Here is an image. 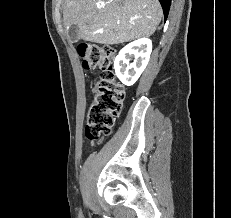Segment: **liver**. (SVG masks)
Segmentation results:
<instances>
[{
	"label": "liver",
	"mask_w": 231,
	"mask_h": 218,
	"mask_svg": "<svg viewBox=\"0 0 231 218\" xmlns=\"http://www.w3.org/2000/svg\"><path fill=\"white\" fill-rule=\"evenodd\" d=\"M163 12L158 0H65L67 30L78 27L85 41L114 45L152 35Z\"/></svg>",
	"instance_id": "1"
}]
</instances>
